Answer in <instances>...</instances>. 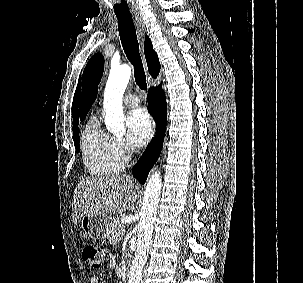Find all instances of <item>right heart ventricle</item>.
<instances>
[{
  "instance_id": "right-heart-ventricle-1",
  "label": "right heart ventricle",
  "mask_w": 303,
  "mask_h": 283,
  "mask_svg": "<svg viewBox=\"0 0 303 283\" xmlns=\"http://www.w3.org/2000/svg\"><path fill=\"white\" fill-rule=\"evenodd\" d=\"M82 154L88 172L95 177H113L124 168L113 137L100 128L96 117L87 122L82 132Z\"/></svg>"
}]
</instances>
